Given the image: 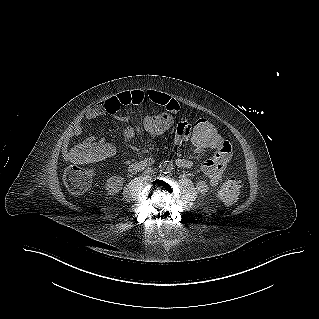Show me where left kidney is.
Segmentation results:
<instances>
[{"label":"left kidney","mask_w":319,"mask_h":319,"mask_svg":"<svg viewBox=\"0 0 319 319\" xmlns=\"http://www.w3.org/2000/svg\"><path fill=\"white\" fill-rule=\"evenodd\" d=\"M197 189L201 193L207 192L208 185L204 181H199V182H197Z\"/></svg>","instance_id":"left-kidney-1"}]
</instances>
